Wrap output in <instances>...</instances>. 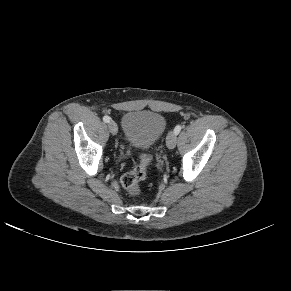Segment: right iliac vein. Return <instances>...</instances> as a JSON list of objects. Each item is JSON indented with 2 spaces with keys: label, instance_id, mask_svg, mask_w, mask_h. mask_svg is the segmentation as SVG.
<instances>
[{
  "label": "right iliac vein",
  "instance_id": "63e3f726",
  "mask_svg": "<svg viewBox=\"0 0 291 291\" xmlns=\"http://www.w3.org/2000/svg\"><path fill=\"white\" fill-rule=\"evenodd\" d=\"M108 128L113 135H116L118 132L117 124L114 121L108 123Z\"/></svg>",
  "mask_w": 291,
  "mask_h": 291
}]
</instances>
